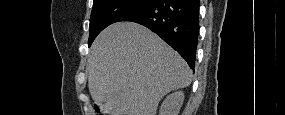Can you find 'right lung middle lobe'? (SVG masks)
Instances as JSON below:
<instances>
[{
  "label": "right lung middle lobe",
  "instance_id": "obj_1",
  "mask_svg": "<svg viewBox=\"0 0 285 115\" xmlns=\"http://www.w3.org/2000/svg\"><path fill=\"white\" fill-rule=\"evenodd\" d=\"M150 0H94L89 25V47L107 26Z\"/></svg>",
  "mask_w": 285,
  "mask_h": 115
}]
</instances>
